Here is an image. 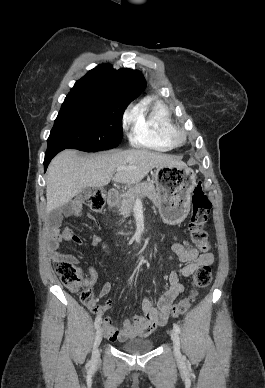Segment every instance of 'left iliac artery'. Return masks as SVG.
I'll use <instances>...</instances> for the list:
<instances>
[{"label":"left iliac artery","mask_w":265,"mask_h":388,"mask_svg":"<svg viewBox=\"0 0 265 388\" xmlns=\"http://www.w3.org/2000/svg\"><path fill=\"white\" fill-rule=\"evenodd\" d=\"M173 329H174V331H176L177 333H180V327L177 325V324H174L173 325Z\"/></svg>","instance_id":"obj_1"}]
</instances>
